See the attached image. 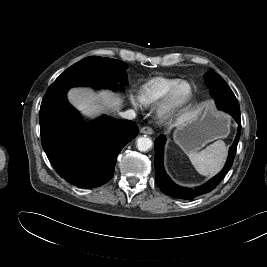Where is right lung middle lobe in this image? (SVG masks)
<instances>
[{"label":"right lung middle lobe","mask_w":267,"mask_h":267,"mask_svg":"<svg viewBox=\"0 0 267 267\" xmlns=\"http://www.w3.org/2000/svg\"><path fill=\"white\" fill-rule=\"evenodd\" d=\"M127 65L111 58L90 56L66 69L50 86L43 100L74 86L90 85L93 88L106 87L115 90L127 85Z\"/></svg>","instance_id":"dd1d6c3e"}]
</instances>
